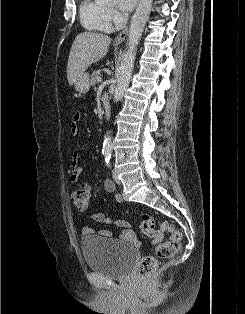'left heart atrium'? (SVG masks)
I'll use <instances>...</instances> for the list:
<instances>
[{
	"mask_svg": "<svg viewBox=\"0 0 245 314\" xmlns=\"http://www.w3.org/2000/svg\"><path fill=\"white\" fill-rule=\"evenodd\" d=\"M136 0H116V4L119 10L122 12H129L135 6Z\"/></svg>",
	"mask_w": 245,
	"mask_h": 314,
	"instance_id": "obj_1",
	"label": "left heart atrium"
}]
</instances>
